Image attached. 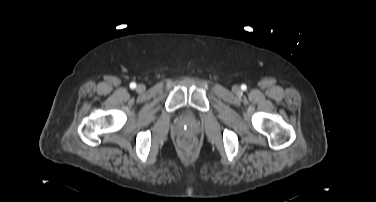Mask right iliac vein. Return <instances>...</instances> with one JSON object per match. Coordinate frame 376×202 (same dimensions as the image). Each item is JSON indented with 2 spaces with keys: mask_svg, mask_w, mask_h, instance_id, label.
<instances>
[{
  "mask_svg": "<svg viewBox=\"0 0 376 202\" xmlns=\"http://www.w3.org/2000/svg\"><path fill=\"white\" fill-rule=\"evenodd\" d=\"M145 90V85H143V84H139L138 86H137V91L138 92H143Z\"/></svg>",
  "mask_w": 376,
  "mask_h": 202,
  "instance_id": "obj_1",
  "label": "right iliac vein"
}]
</instances>
